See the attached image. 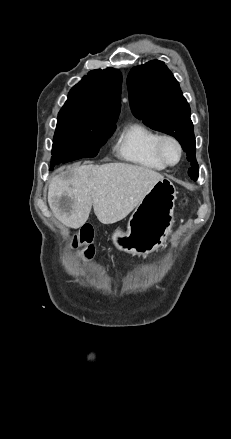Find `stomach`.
I'll use <instances>...</instances> for the list:
<instances>
[{"instance_id": "1", "label": "stomach", "mask_w": 231, "mask_h": 439, "mask_svg": "<svg viewBox=\"0 0 231 439\" xmlns=\"http://www.w3.org/2000/svg\"><path fill=\"white\" fill-rule=\"evenodd\" d=\"M177 190L168 179L156 182L131 215L127 231L116 229L115 247L133 255H148L166 241L174 222Z\"/></svg>"}]
</instances>
